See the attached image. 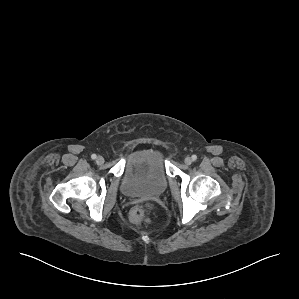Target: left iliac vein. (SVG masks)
<instances>
[{
  "mask_svg": "<svg viewBox=\"0 0 299 299\" xmlns=\"http://www.w3.org/2000/svg\"><path fill=\"white\" fill-rule=\"evenodd\" d=\"M192 161H193V160H192L191 157H186L185 160H184V162H185L186 165H191V164H192Z\"/></svg>",
  "mask_w": 299,
  "mask_h": 299,
  "instance_id": "obj_1",
  "label": "left iliac vein"
}]
</instances>
